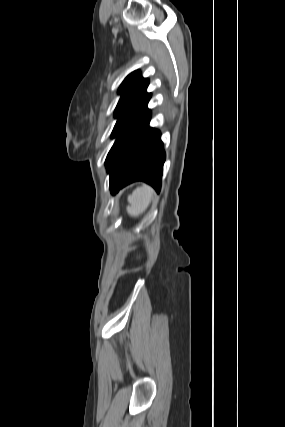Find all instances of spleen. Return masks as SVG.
Wrapping results in <instances>:
<instances>
[{
	"instance_id": "1",
	"label": "spleen",
	"mask_w": 285,
	"mask_h": 427,
	"mask_svg": "<svg viewBox=\"0 0 285 427\" xmlns=\"http://www.w3.org/2000/svg\"><path fill=\"white\" fill-rule=\"evenodd\" d=\"M154 195L152 188L147 185L136 188L127 198L129 203L127 213L132 217H138L148 208Z\"/></svg>"
}]
</instances>
